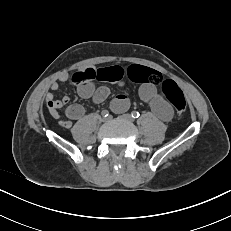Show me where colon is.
<instances>
[{"label": "colon", "mask_w": 231, "mask_h": 231, "mask_svg": "<svg viewBox=\"0 0 231 231\" xmlns=\"http://www.w3.org/2000/svg\"><path fill=\"white\" fill-rule=\"evenodd\" d=\"M131 78L139 83L161 85L162 90L176 112L182 114L186 110L187 103L181 89L174 81L163 80L162 75L158 71L146 67L134 66L131 69ZM72 80L75 83H79L82 80V76L77 73L73 76Z\"/></svg>", "instance_id": "1"}]
</instances>
